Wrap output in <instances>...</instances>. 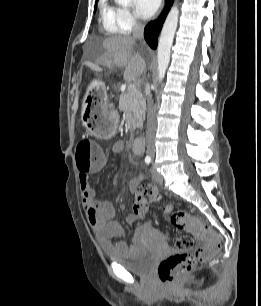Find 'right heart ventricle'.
<instances>
[{
    "mask_svg": "<svg viewBox=\"0 0 261 306\" xmlns=\"http://www.w3.org/2000/svg\"><path fill=\"white\" fill-rule=\"evenodd\" d=\"M119 8L109 0H101L99 11V22L101 31L106 34H122L124 29L118 20Z\"/></svg>",
    "mask_w": 261,
    "mask_h": 306,
    "instance_id": "e07e8e85",
    "label": "right heart ventricle"
}]
</instances>
